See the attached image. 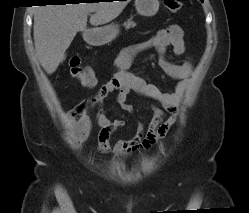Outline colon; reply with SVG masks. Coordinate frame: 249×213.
<instances>
[{"label":"colon","instance_id":"obj_1","mask_svg":"<svg viewBox=\"0 0 249 213\" xmlns=\"http://www.w3.org/2000/svg\"><path fill=\"white\" fill-rule=\"evenodd\" d=\"M166 8L172 12H178L182 9L181 0H164ZM71 75L83 86L90 87L96 82V75L89 66L82 65L79 57H72L69 60Z\"/></svg>","mask_w":249,"mask_h":213}]
</instances>
